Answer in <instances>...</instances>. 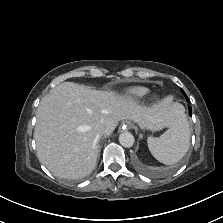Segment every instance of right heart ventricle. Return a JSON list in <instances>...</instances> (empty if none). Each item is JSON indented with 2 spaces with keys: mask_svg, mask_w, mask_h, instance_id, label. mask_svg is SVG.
Segmentation results:
<instances>
[{
  "mask_svg": "<svg viewBox=\"0 0 223 223\" xmlns=\"http://www.w3.org/2000/svg\"><path fill=\"white\" fill-rule=\"evenodd\" d=\"M149 94V89L143 86L128 88L124 95L127 99L137 101L145 98Z\"/></svg>",
  "mask_w": 223,
  "mask_h": 223,
  "instance_id": "obj_1",
  "label": "right heart ventricle"
}]
</instances>
